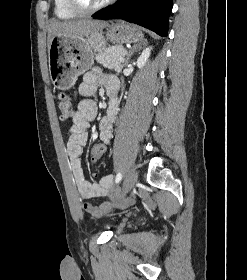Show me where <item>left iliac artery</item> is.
Wrapping results in <instances>:
<instances>
[{
    "mask_svg": "<svg viewBox=\"0 0 247 280\" xmlns=\"http://www.w3.org/2000/svg\"><path fill=\"white\" fill-rule=\"evenodd\" d=\"M122 179V174L119 172L117 175H116V178H115V183L118 184Z\"/></svg>",
    "mask_w": 247,
    "mask_h": 280,
    "instance_id": "1",
    "label": "left iliac artery"
}]
</instances>
